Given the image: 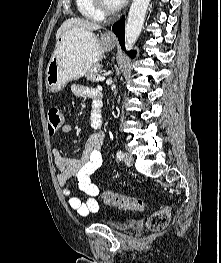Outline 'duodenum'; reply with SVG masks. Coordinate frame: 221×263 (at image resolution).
Masks as SVG:
<instances>
[{
    "mask_svg": "<svg viewBox=\"0 0 221 263\" xmlns=\"http://www.w3.org/2000/svg\"><path fill=\"white\" fill-rule=\"evenodd\" d=\"M101 109H102L101 97L97 96L96 97V104H95V108H94V114H93V120L97 124H101Z\"/></svg>",
    "mask_w": 221,
    "mask_h": 263,
    "instance_id": "duodenum-1",
    "label": "duodenum"
}]
</instances>
